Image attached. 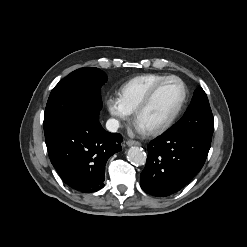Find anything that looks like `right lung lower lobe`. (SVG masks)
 Here are the masks:
<instances>
[{
    "instance_id": "98d812e1",
    "label": "right lung lower lobe",
    "mask_w": 247,
    "mask_h": 247,
    "mask_svg": "<svg viewBox=\"0 0 247 247\" xmlns=\"http://www.w3.org/2000/svg\"><path fill=\"white\" fill-rule=\"evenodd\" d=\"M51 163L62 180L83 193L101 189L105 165L121 150L122 136L105 131L98 117L72 121L45 132Z\"/></svg>"
}]
</instances>
